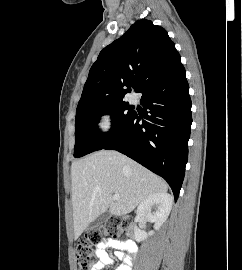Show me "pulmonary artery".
<instances>
[{
    "label": "pulmonary artery",
    "mask_w": 242,
    "mask_h": 270,
    "mask_svg": "<svg viewBox=\"0 0 242 270\" xmlns=\"http://www.w3.org/2000/svg\"><path fill=\"white\" fill-rule=\"evenodd\" d=\"M136 100V97L134 95H131V101H135Z\"/></svg>",
    "instance_id": "pulmonary-artery-1"
}]
</instances>
